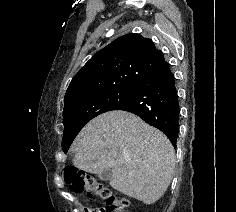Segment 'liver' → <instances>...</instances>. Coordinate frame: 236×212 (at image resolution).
<instances>
[{
	"label": "liver",
	"mask_w": 236,
	"mask_h": 212,
	"mask_svg": "<svg viewBox=\"0 0 236 212\" xmlns=\"http://www.w3.org/2000/svg\"><path fill=\"white\" fill-rule=\"evenodd\" d=\"M70 150L75 167L93 174L111 169V187L147 205L159 200L172 180L171 142L129 112L109 111L92 119Z\"/></svg>",
	"instance_id": "obj_1"
}]
</instances>
